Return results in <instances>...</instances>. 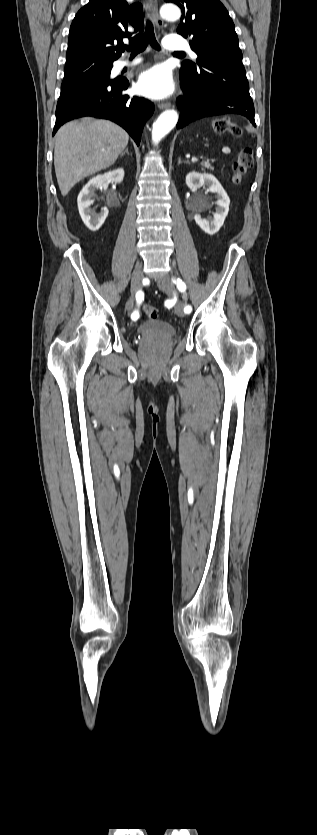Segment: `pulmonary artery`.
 I'll use <instances>...</instances> for the list:
<instances>
[{"instance_id": "e3ab8cb5", "label": "pulmonary artery", "mask_w": 317, "mask_h": 835, "mask_svg": "<svg viewBox=\"0 0 317 835\" xmlns=\"http://www.w3.org/2000/svg\"><path fill=\"white\" fill-rule=\"evenodd\" d=\"M164 48L173 52L188 51L193 58H197V54L193 52L189 44L177 35H168L163 41ZM141 62L140 59L127 60L122 59L117 62V69L125 67H132Z\"/></svg>"}]
</instances>
